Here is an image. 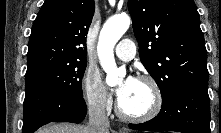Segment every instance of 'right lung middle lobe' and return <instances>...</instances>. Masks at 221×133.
Masks as SVG:
<instances>
[{"label": "right lung middle lobe", "mask_w": 221, "mask_h": 133, "mask_svg": "<svg viewBox=\"0 0 221 133\" xmlns=\"http://www.w3.org/2000/svg\"><path fill=\"white\" fill-rule=\"evenodd\" d=\"M85 69V61L46 67L26 75L25 85L33 83L71 97H83L81 82Z\"/></svg>", "instance_id": "1"}]
</instances>
